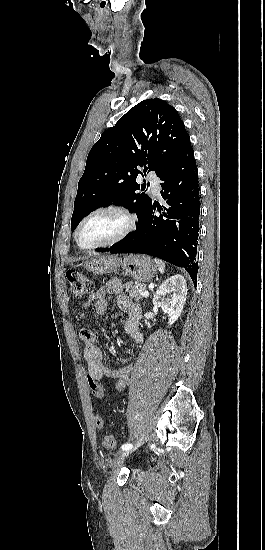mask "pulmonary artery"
<instances>
[{
	"instance_id": "obj_1",
	"label": "pulmonary artery",
	"mask_w": 265,
	"mask_h": 550,
	"mask_svg": "<svg viewBox=\"0 0 265 550\" xmlns=\"http://www.w3.org/2000/svg\"><path fill=\"white\" fill-rule=\"evenodd\" d=\"M148 179L151 183L152 193L154 195L158 196L160 194V180H159V178L156 176V174L154 172H151L148 175Z\"/></svg>"
}]
</instances>
